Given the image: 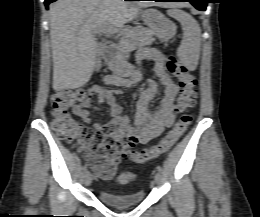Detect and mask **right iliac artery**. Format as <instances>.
I'll list each match as a JSON object with an SVG mask.
<instances>
[{
	"instance_id": "82829eb1",
	"label": "right iliac artery",
	"mask_w": 260,
	"mask_h": 217,
	"mask_svg": "<svg viewBox=\"0 0 260 217\" xmlns=\"http://www.w3.org/2000/svg\"><path fill=\"white\" fill-rule=\"evenodd\" d=\"M83 170H84V172H86V171H87V167H86V166H84Z\"/></svg>"
}]
</instances>
